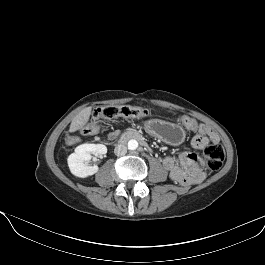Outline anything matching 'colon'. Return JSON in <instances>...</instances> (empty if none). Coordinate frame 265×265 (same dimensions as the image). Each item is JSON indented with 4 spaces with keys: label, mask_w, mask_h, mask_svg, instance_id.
Segmentation results:
<instances>
[{
    "label": "colon",
    "mask_w": 265,
    "mask_h": 265,
    "mask_svg": "<svg viewBox=\"0 0 265 265\" xmlns=\"http://www.w3.org/2000/svg\"><path fill=\"white\" fill-rule=\"evenodd\" d=\"M151 115V112L141 107L130 105L114 106L108 105L100 107L91 115L90 120L82 128L85 135L96 134L101 126L109 120L117 117L126 118H145ZM180 121L188 128H196V120L188 116L180 117ZM206 167L209 173L218 171L224 162L225 152L219 143H212L204 149L203 152Z\"/></svg>",
    "instance_id": "colon-1"
}]
</instances>
